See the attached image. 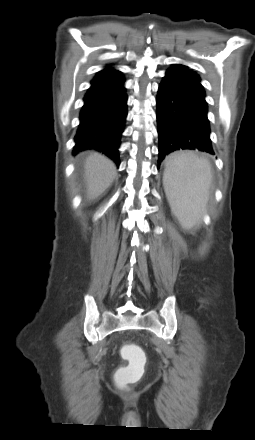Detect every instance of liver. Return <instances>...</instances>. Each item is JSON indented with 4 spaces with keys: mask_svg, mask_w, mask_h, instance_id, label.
Masks as SVG:
<instances>
[{
    "mask_svg": "<svg viewBox=\"0 0 255 440\" xmlns=\"http://www.w3.org/2000/svg\"><path fill=\"white\" fill-rule=\"evenodd\" d=\"M84 170L87 198L90 200L100 196L111 185L116 175L115 164L97 152L88 155Z\"/></svg>",
    "mask_w": 255,
    "mask_h": 440,
    "instance_id": "liver-1",
    "label": "liver"
}]
</instances>
